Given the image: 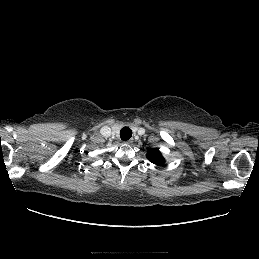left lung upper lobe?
<instances>
[{"instance_id": "left-lung-upper-lobe-1", "label": "left lung upper lobe", "mask_w": 259, "mask_h": 259, "mask_svg": "<svg viewBox=\"0 0 259 259\" xmlns=\"http://www.w3.org/2000/svg\"><path fill=\"white\" fill-rule=\"evenodd\" d=\"M147 158L154 164L162 165L164 163V158L158 149H151L147 153Z\"/></svg>"}]
</instances>
